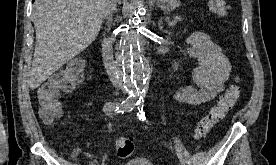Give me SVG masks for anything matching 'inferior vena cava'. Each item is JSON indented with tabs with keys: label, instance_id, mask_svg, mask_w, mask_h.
I'll use <instances>...</instances> for the list:
<instances>
[{
	"label": "inferior vena cava",
	"instance_id": "602c4592",
	"mask_svg": "<svg viewBox=\"0 0 276 165\" xmlns=\"http://www.w3.org/2000/svg\"><path fill=\"white\" fill-rule=\"evenodd\" d=\"M118 2L119 0H105L104 2L103 16L108 21V23H111L112 21V14L117 10L116 4ZM102 47H103V58H104L105 68L107 70V73L110 79L113 82H116L117 65L113 60L111 39L105 38L103 40ZM116 87L119 89L118 85Z\"/></svg>",
	"mask_w": 276,
	"mask_h": 165
}]
</instances>
